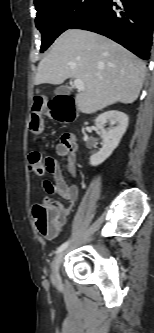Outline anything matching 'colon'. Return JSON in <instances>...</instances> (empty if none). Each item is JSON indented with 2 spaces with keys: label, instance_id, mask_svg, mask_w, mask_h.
<instances>
[{
  "label": "colon",
  "instance_id": "obj_1",
  "mask_svg": "<svg viewBox=\"0 0 154 333\" xmlns=\"http://www.w3.org/2000/svg\"><path fill=\"white\" fill-rule=\"evenodd\" d=\"M44 105L43 99L39 97L34 99L32 105L30 129L37 134L41 132L43 126L41 114L44 110ZM28 159L32 172L41 175L46 171L45 159L39 152L31 151ZM33 214L38 230L47 237H54L58 234L65 216L64 210L52 204L48 199L36 204L33 207Z\"/></svg>",
  "mask_w": 154,
  "mask_h": 333
}]
</instances>
